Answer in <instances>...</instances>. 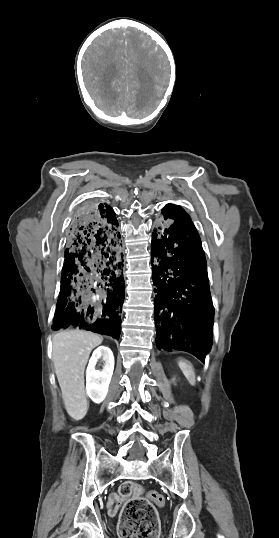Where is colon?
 Instances as JSON below:
<instances>
[{
  "label": "colon",
  "instance_id": "obj_1",
  "mask_svg": "<svg viewBox=\"0 0 279 538\" xmlns=\"http://www.w3.org/2000/svg\"><path fill=\"white\" fill-rule=\"evenodd\" d=\"M119 493L130 497L121 513L118 533L120 538H156L159 531V519L154 504L164 505V497L157 491L143 496L141 486L134 482H124Z\"/></svg>",
  "mask_w": 279,
  "mask_h": 538
}]
</instances>
